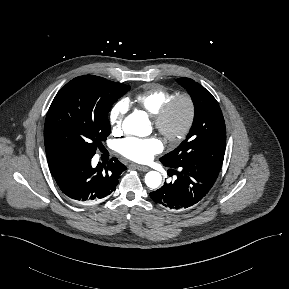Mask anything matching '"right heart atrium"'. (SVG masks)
Returning a JSON list of instances; mask_svg holds the SVG:
<instances>
[{
  "label": "right heart atrium",
  "instance_id": "d8ad5b80",
  "mask_svg": "<svg viewBox=\"0 0 289 289\" xmlns=\"http://www.w3.org/2000/svg\"><path fill=\"white\" fill-rule=\"evenodd\" d=\"M129 109V102L126 99L116 101L109 111V121L115 133L122 130L123 119Z\"/></svg>",
  "mask_w": 289,
  "mask_h": 289
}]
</instances>
